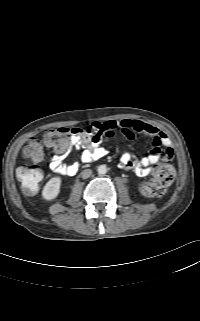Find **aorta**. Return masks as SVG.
Wrapping results in <instances>:
<instances>
[{"mask_svg":"<svg viewBox=\"0 0 200 321\" xmlns=\"http://www.w3.org/2000/svg\"><path fill=\"white\" fill-rule=\"evenodd\" d=\"M97 171H98V174L104 175L107 173V167L105 165H100Z\"/></svg>","mask_w":200,"mask_h":321,"instance_id":"obj_1","label":"aorta"}]
</instances>
